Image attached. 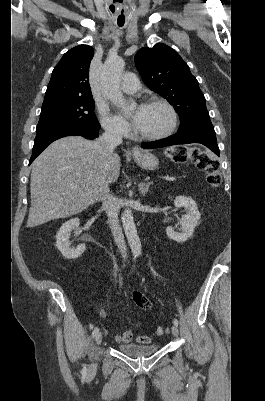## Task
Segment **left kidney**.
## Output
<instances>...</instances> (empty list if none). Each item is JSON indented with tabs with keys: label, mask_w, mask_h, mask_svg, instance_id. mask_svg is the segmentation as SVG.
Listing matches in <instances>:
<instances>
[{
	"label": "left kidney",
	"mask_w": 265,
	"mask_h": 401,
	"mask_svg": "<svg viewBox=\"0 0 265 401\" xmlns=\"http://www.w3.org/2000/svg\"><path fill=\"white\" fill-rule=\"evenodd\" d=\"M175 207H185L188 213L182 215L181 231L182 233H176L173 227H167L166 235L169 239L177 241V243H184L192 237L195 227L198 225L201 215L197 209V205L193 198L190 196H176L174 201Z\"/></svg>",
	"instance_id": "5707ae66"
}]
</instances>
